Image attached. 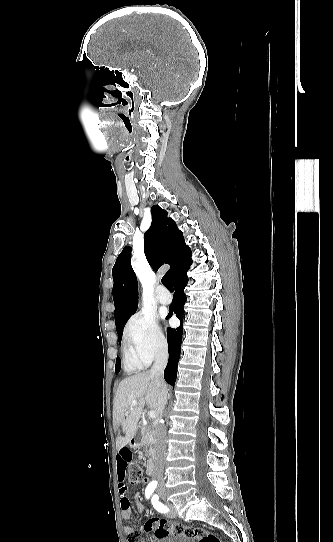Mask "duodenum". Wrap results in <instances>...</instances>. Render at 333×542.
<instances>
[{"label":"duodenum","instance_id":"1","mask_svg":"<svg viewBox=\"0 0 333 542\" xmlns=\"http://www.w3.org/2000/svg\"><path fill=\"white\" fill-rule=\"evenodd\" d=\"M141 444H142V440L140 438H138V437H133L130 440V445L133 448H138V447L141 446ZM153 471H154V460L149 459L148 462H147V466H146L147 475H149V476L152 475Z\"/></svg>","mask_w":333,"mask_h":542}]
</instances>
